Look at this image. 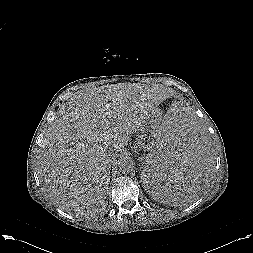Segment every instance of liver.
I'll list each match as a JSON object with an SVG mask.
<instances>
[{
  "label": "liver",
  "instance_id": "1",
  "mask_svg": "<svg viewBox=\"0 0 253 253\" xmlns=\"http://www.w3.org/2000/svg\"><path fill=\"white\" fill-rule=\"evenodd\" d=\"M169 96L163 86L119 83L82 90L62 104L37 161L49 199L81 218L104 211L111 163Z\"/></svg>",
  "mask_w": 253,
  "mask_h": 253
}]
</instances>
